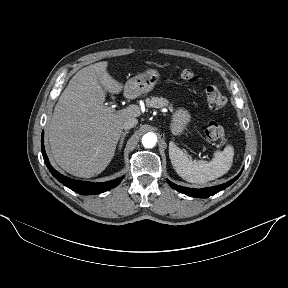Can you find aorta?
I'll use <instances>...</instances> for the list:
<instances>
[{
  "label": "aorta",
  "mask_w": 288,
  "mask_h": 288,
  "mask_svg": "<svg viewBox=\"0 0 288 288\" xmlns=\"http://www.w3.org/2000/svg\"><path fill=\"white\" fill-rule=\"evenodd\" d=\"M157 137L154 133H147L142 137V144L146 148H153L156 145Z\"/></svg>",
  "instance_id": "762f6f07"
}]
</instances>
